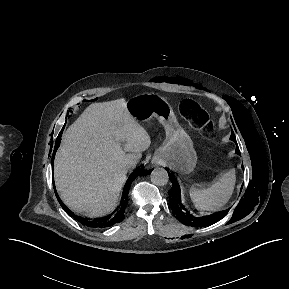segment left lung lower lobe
I'll return each instance as SVG.
<instances>
[{
    "instance_id": "left-lung-lower-lobe-1",
    "label": "left lung lower lobe",
    "mask_w": 289,
    "mask_h": 289,
    "mask_svg": "<svg viewBox=\"0 0 289 289\" xmlns=\"http://www.w3.org/2000/svg\"><path fill=\"white\" fill-rule=\"evenodd\" d=\"M172 178L173 186L171 190L168 192L169 194V204L171 206V209L175 215L179 218V220L185 224L190 226H207L212 223L217 222L222 217H216V218H202V217H194L191 215L182 205L181 199H180V187L176 179L170 174L169 176Z\"/></svg>"
}]
</instances>
